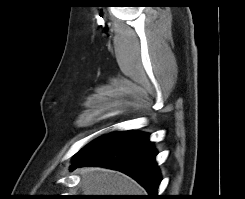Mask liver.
<instances>
[{"instance_id": "obj_1", "label": "liver", "mask_w": 245, "mask_h": 199, "mask_svg": "<svg viewBox=\"0 0 245 199\" xmlns=\"http://www.w3.org/2000/svg\"><path fill=\"white\" fill-rule=\"evenodd\" d=\"M79 174L84 195H144L137 182L110 169L86 167Z\"/></svg>"}]
</instances>
